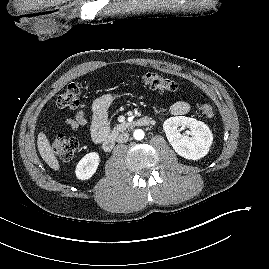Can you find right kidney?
I'll list each match as a JSON object with an SVG mask.
<instances>
[{"label":"right kidney","instance_id":"right-kidney-1","mask_svg":"<svg viewBox=\"0 0 269 269\" xmlns=\"http://www.w3.org/2000/svg\"><path fill=\"white\" fill-rule=\"evenodd\" d=\"M99 162L100 158L97 152L86 154L76 166V177L80 180L90 179L96 172Z\"/></svg>","mask_w":269,"mask_h":269}]
</instances>
